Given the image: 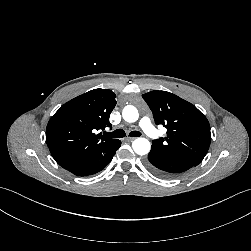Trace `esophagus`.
Masks as SVG:
<instances>
[{
    "label": "esophagus",
    "mask_w": 251,
    "mask_h": 251,
    "mask_svg": "<svg viewBox=\"0 0 251 251\" xmlns=\"http://www.w3.org/2000/svg\"><path fill=\"white\" fill-rule=\"evenodd\" d=\"M135 138L134 137H127L125 140L126 141H133Z\"/></svg>",
    "instance_id": "esophagus-1"
}]
</instances>
